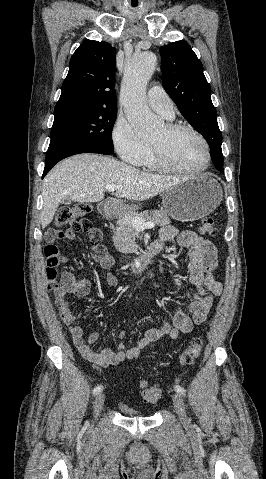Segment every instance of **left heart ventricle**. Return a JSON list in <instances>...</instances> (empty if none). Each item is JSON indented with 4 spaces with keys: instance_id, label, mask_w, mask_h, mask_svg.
I'll return each mask as SVG.
<instances>
[{
    "instance_id": "obj_1",
    "label": "left heart ventricle",
    "mask_w": 266,
    "mask_h": 479,
    "mask_svg": "<svg viewBox=\"0 0 266 479\" xmlns=\"http://www.w3.org/2000/svg\"><path fill=\"white\" fill-rule=\"evenodd\" d=\"M173 165L193 169L204 162V149L198 138L189 131L157 130L151 140Z\"/></svg>"
}]
</instances>
